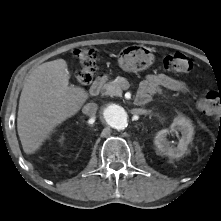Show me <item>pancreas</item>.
I'll return each mask as SVG.
<instances>
[{
	"label": "pancreas",
	"mask_w": 221,
	"mask_h": 221,
	"mask_svg": "<svg viewBox=\"0 0 221 221\" xmlns=\"http://www.w3.org/2000/svg\"><path fill=\"white\" fill-rule=\"evenodd\" d=\"M126 80L124 78H117L113 81L107 82L102 86V92L105 95L109 96H120L122 93V90L125 89L123 86V83ZM159 94L162 93L161 90H158Z\"/></svg>",
	"instance_id": "cf45deb5"
}]
</instances>
